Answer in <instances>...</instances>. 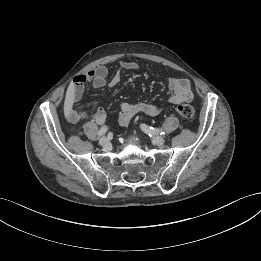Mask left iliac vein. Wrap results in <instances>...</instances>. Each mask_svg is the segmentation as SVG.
<instances>
[{"instance_id":"1","label":"left iliac vein","mask_w":261,"mask_h":261,"mask_svg":"<svg viewBox=\"0 0 261 261\" xmlns=\"http://www.w3.org/2000/svg\"><path fill=\"white\" fill-rule=\"evenodd\" d=\"M154 141L158 146H162L165 142L164 138L158 135L154 137Z\"/></svg>"}]
</instances>
